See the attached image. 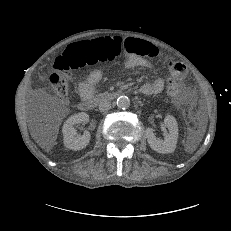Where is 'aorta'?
<instances>
[{
  "mask_svg": "<svg viewBox=\"0 0 231 231\" xmlns=\"http://www.w3.org/2000/svg\"><path fill=\"white\" fill-rule=\"evenodd\" d=\"M117 106L120 109H126L130 106V99L127 96H120L117 98Z\"/></svg>",
  "mask_w": 231,
  "mask_h": 231,
  "instance_id": "1",
  "label": "aorta"
}]
</instances>
